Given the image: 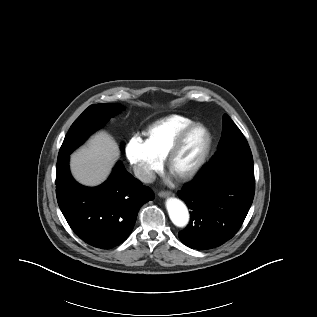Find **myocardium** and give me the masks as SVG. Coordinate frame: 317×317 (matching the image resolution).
Instances as JSON below:
<instances>
[{"instance_id":"myocardium-1","label":"myocardium","mask_w":317,"mask_h":317,"mask_svg":"<svg viewBox=\"0 0 317 317\" xmlns=\"http://www.w3.org/2000/svg\"><path fill=\"white\" fill-rule=\"evenodd\" d=\"M200 129L203 131L205 135V144L203 147V150L196 161V163L187 171L176 174L172 171V164L175 159V157L178 155L180 149L182 148V145L184 144L186 138L189 136V134L196 130ZM212 146V136L209 131V129L202 123L199 122H193L189 126H187L185 129H183L178 136L173 141L171 147L169 148L165 160H166V166L168 170L179 180V181H189L193 179L203 168L205 165L207 158L209 156L210 150Z\"/></svg>"}]
</instances>
